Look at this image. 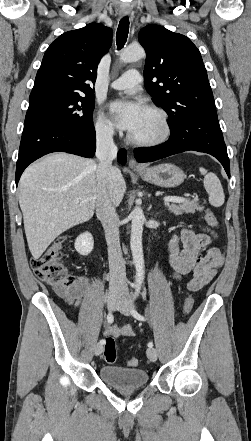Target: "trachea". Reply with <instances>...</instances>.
I'll return each instance as SVG.
<instances>
[{
	"label": "trachea",
	"mask_w": 251,
	"mask_h": 441,
	"mask_svg": "<svg viewBox=\"0 0 251 441\" xmlns=\"http://www.w3.org/2000/svg\"><path fill=\"white\" fill-rule=\"evenodd\" d=\"M129 32V18L128 16L123 17L118 25L116 33L117 49L120 50L124 47Z\"/></svg>",
	"instance_id": "trachea-1"
}]
</instances>
